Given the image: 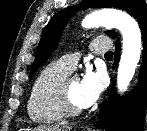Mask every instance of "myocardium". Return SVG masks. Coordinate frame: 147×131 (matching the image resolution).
Segmentation results:
<instances>
[{
    "instance_id": "obj_1",
    "label": "myocardium",
    "mask_w": 147,
    "mask_h": 131,
    "mask_svg": "<svg viewBox=\"0 0 147 131\" xmlns=\"http://www.w3.org/2000/svg\"><path fill=\"white\" fill-rule=\"evenodd\" d=\"M74 78H77V75L69 73L60 81L57 87L58 106L65 117H76L83 112V108L75 106L69 97L68 85Z\"/></svg>"
}]
</instances>
